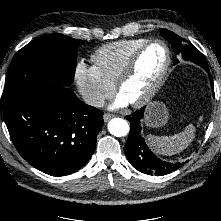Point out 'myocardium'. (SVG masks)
Returning a JSON list of instances; mask_svg holds the SVG:
<instances>
[{
  "mask_svg": "<svg viewBox=\"0 0 221 221\" xmlns=\"http://www.w3.org/2000/svg\"><path fill=\"white\" fill-rule=\"evenodd\" d=\"M153 44H161L164 47L166 52L165 64L158 79L156 80L154 85L149 89V91L146 94H144L140 99L130 102V104L134 107H142L148 104L157 95V93L160 91L161 87L163 86L172 63L171 51L168 44L161 39H152L146 41L144 44H142L132 53V55L127 60L124 68L122 69L120 75L118 76L115 82V88L120 93L124 84L132 77L136 65L138 63V60L143 54V52Z\"/></svg>",
  "mask_w": 221,
  "mask_h": 221,
  "instance_id": "myocardium-1",
  "label": "myocardium"
}]
</instances>
